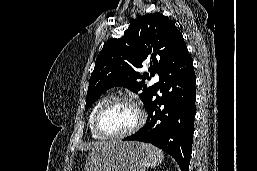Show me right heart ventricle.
Returning <instances> with one entry per match:
<instances>
[{
  "label": "right heart ventricle",
  "mask_w": 257,
  "mask_h": 171,
  "mask_svg": "<svg viewBox=\"0 0 257 171\" xmlns=\"http://www.w3.org/2000/svg\"><path fill=\"white\" fill-rule=\"evenodd\" d=\"M108 98L105 97V98H102L100 99L95 105L94 107L92 108L90 114H89V118H88V124H89V129H90V133H91V136L95 139H104L103 137H101L100 135H98L96 133V131L94 130V127H93V119H94V115L97 111V109L100 107V105L105 102Z\"/></svg>",
  "instance_id": "1"
}]
</instances>
